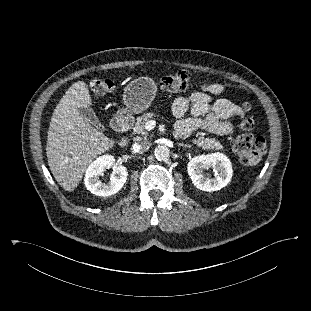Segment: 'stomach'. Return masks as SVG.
Masks as SVG:
<instances>
[{"mask_svg": "<svg viewBox=\"0 0 311 311\" xmlns=\"http://www.w3.org/2000/svg\"><path fill=\"white\" fill-rule=\"evenodd\" d=\"M157 92L156 83L150 78H139L131 81L124 89L123 103L118 116L139 114L150 107Z\"/></svg>", "mask_w": 311, "mask_h": 311, "instance_id": "obj_1", "label": "stomach"}]
</instances>
